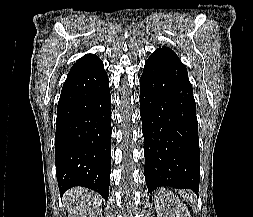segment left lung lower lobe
<instances>
[{
    "label": "left lung lower lobe",
    "mask_w": 253,
    "mask_h": 217,
    "mask_svg": "<svg viewBox=\"0 0 253 217\" xmlns=\"http://www.w3.org/2000/svg\"><path fill=\"white\" fill-rule=\"evenodd\" d=\"M140 103L148 191L170 186L198 193V125L187 70L152 53L140 78Z\"/></svg>",
    "instance_id": "left-lung-lower-lobe-1"
}]
</instances>
